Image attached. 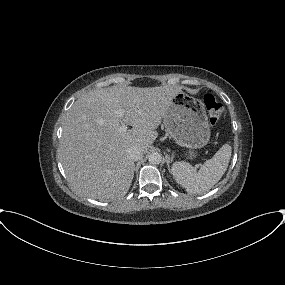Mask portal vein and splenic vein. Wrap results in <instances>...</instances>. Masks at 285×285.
Wrapping results in <instances>:
<instances>
[{
  "label": "portal vein and splenic vein",
  "mask_w": 285,
  "mask_h": 285,
  "mask_svg": "<svg viewBox=\"0 0 285 285\" xmlns=\"http://www.w3.org/2000/svg\"><path fill=\"white\" fill-rule=\"evenodd\" d=\"M116 116L119 117V118H123L124 117V110L122 109H119L115 112ZM120 131L121 132H126L127 131V125L126 124H123L121 127H120Z\"/></svg>",
  "instance_id": "portal-vein-and-splenic-vein-1"
}]
</instances>
